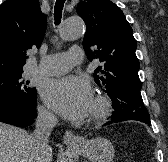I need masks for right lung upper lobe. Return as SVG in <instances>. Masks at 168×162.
Listing matches in <instances>:
<instances>
[{"mask_svg": "<svg viewBox=\"0 0 168 162\" xmlns=\"http://www.w3.org/2000/svg\"><path fill=\"white\" fill-rule=\"evenodd\" d=\"M46 26L38 0H6L0 5V75L23 71L26 51L40 47Z\"/></svg>", "mask_w": 168, "mask_h": 162, "instance_id": "right-lung-upper-lobe-1", "label": "right lung upper lobe"}]
</instances>
